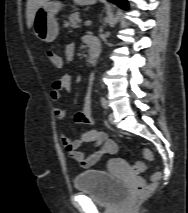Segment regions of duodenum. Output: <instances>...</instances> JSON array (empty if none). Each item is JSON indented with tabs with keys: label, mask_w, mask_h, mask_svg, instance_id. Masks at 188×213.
Masks as SVG:
<instances>
[{
	"label": "duodenum",
	"mask_w": 188,
	"mask_h": 213,
	"mask_svg": "<svg viewBox=\"0 0 188 213\" xmlns=\"http://www.w3.org/2000/svg\"><path fill=\"white\" fill-rule=\"evenodd\" d=\"M89 46V56L88 61L90 64H95L98 58V55L100 53V43L99 40L96 39L93 36L88 37V43Z\"/></svg>",
	"instance_id": "410a0bca"
}]
</instances>
